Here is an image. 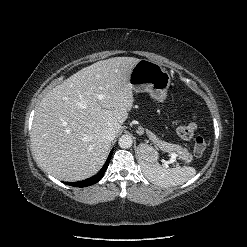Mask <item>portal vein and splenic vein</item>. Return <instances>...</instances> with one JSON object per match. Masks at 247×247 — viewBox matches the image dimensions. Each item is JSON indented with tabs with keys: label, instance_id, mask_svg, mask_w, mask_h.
I'll return each mask as SVG.
<instances>
[{
	"label": "portal vein and splenic vein",
	"instance_id": "18ae733b",
	"mask_svg": "<svg viewBox=\"0 0 247 247\" xmlns=\"http://www.w3.org/2000/svg\"><path fill=\"white\" fill-rule=\"evenodd\" d=\"M178 158V154H176V153H171V162L172 163H174V162H176V159Z\"/></svg>",
	"mask_w": 247,
	"mask_h": 247
}]
</instances>
